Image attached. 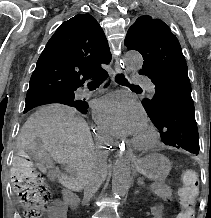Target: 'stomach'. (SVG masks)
I'll use <instances>...</instances> for the list:
<instances>
[{
    "label": "stomach",
    "instance_id": "1",
    "mask_svg": "<svg viewBox=\"0 0 211 218\" xmlns=\"http://www.w3.org/2000/svg\"><path fill=\"white\" fill-rule=\"evenodd\" d=\"M136 169L149 179L163 181L171 170V163L164 155L150 154L141 159Z\"/></svg>",
    "mask_w": 211,
    "mask_h": 218
}]
</instances>
